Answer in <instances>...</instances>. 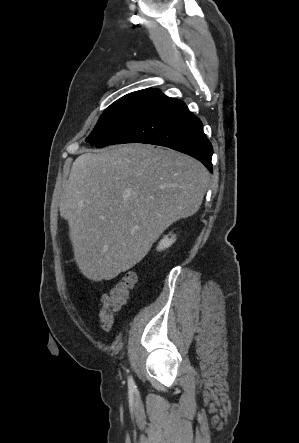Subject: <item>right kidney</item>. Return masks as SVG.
<instances>
[{
	"label": "right kidney",
	"mask_w": 299,
	"mask_h": 443,
	"mask_svg": "<svg viewBox=\"0 0 299 443\" xmlns=\"http://www.w3.org/2000/svg\"><path fill=\"white\" fill-rule=\"evenodd\" d=\"M171 238H168V235L164 236L163 239L159 242V245L157 246V250L161 251L168 247H170L176 240L175 235H171Z\"/></svg>",
	"instance_id": "1"
}]
</instances>
